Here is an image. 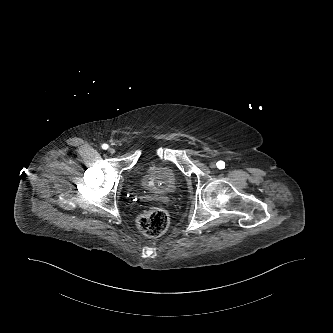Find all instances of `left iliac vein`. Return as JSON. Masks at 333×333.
Wrapping results in <instances>:
<instances>
[{"label":"left iliac vein","instance_id":"1","mask_svg":"<svg viewBox=\"0 0 333 333\" xmlns=\"http://www.w3.org/2000/svg\"><path fill=\"white\" fill-rule=\"evenodd\" d=\"M216 166H217V165H216V163H215V162H211V163H210V168H212V169H215V168H216Z\"/></svg>","mask_w":333,"mask_h":333}]
</instances>
